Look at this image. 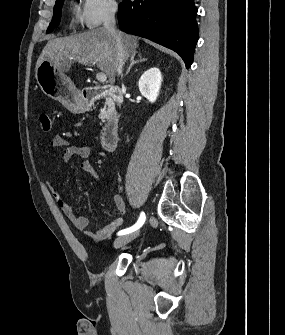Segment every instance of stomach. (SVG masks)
Here are the masks:
<instances>
[{
	"instance_id": "0dacf381",
	"label": "stomach",
	"mask_w": 285,
	"mask_h": 335,
	"mask_svg": "<svg viewBox=\"0 0 285 335\" xmlns=\"http://www.w3.org/2000/svg\"><path fill=\"white\" fill-rule=\"evenodd\" d=\"M35 78L46 96L65 104L72 112L83 110L84 102L79 90L60 68L54 66V62L43 60L35 70Z\"/></svg>"
}]
</instances>
